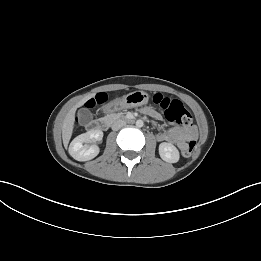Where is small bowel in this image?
Segmentation results:
<instances>
[{"mask_svg": "<svg viewBox=\"0 0 261 261\" xmlns=\"http://www.w3.org/2000/svg\"><path fill=\"white\" fill-rule=\"evenodd\" d=\"M143 113L159 119L160 113L152 107H144ZM196 138V130L194 128L184 129L181 127H171L158 134V139L176 144L182 150L190 140Z\"/></svg>", "mask_w": 261, "mask_h": 261, "instance_id": "obj_1", "label": "small bowel"}]
</instances>
